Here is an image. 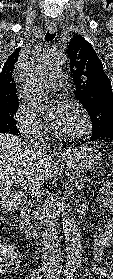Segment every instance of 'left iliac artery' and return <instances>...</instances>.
Listing matches in <instances>:
<instances>
[{"instance_id":"1","label":"left iliac artery","mask_w":113,"mask_h":279,"mask_svg":"<svg viewBox=\"0 0 113 279\" xmlns=\"http://www.w3.org/2000/svg\"><path fill=\"white\" fill-rule=\"evenodd\" d=\"M70 277H71V274L69 273V274H67V278H69L70 279Z\"/></svg>"}]
</instances>
